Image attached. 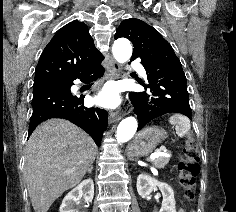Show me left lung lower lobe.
<instances>
[{"label":"left lung lower lobe","mask_w":236,"mask_h":212,"mask_svg":"<svg viewBox=\"0 0 236 212\" xmlns=\"http://www.w3.org/2000/svg\"><path fill=\"white\" fill-rule=\"evenodd\" d=\"M142 65L148 82L140 84L145 89L149 88L151 94H129L139 122L138 131L151 120L167 113H181L191 119L186 77L181 63Z\"/></svg>","instance_id":"0a47b994"}]
</instances>
